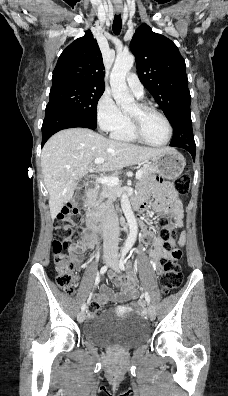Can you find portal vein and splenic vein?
I'll list each match as a JSON object with an SVG mask.
<instances>
[{
  "label": "portal vein and splenic vein",
  "mask_w": 228,
  "mask_h": 396,
  "mask_svg": "<svg viewBox=\"0 0 228 396\" xmlns=\"http://www.w3.org/2000/svg\"><path fill=\"white\" fill-rule=\"evenodd\" d=\"M102 163H104V159L103 158H97V159H95V161H94V165L90 168V172H93V170H94V166L95 165H100V164H102ZM142 174H143V171H142V169H140V170H138L137 172H136V179H140L141 178V176H142ZM98 183H101V184H103V185H107V186H111V187H114V186H117L118 184H119V178L118 177H107V176H105V177H100V178H97V180H96Z\"/></svg>",
  "instance_id": "portal-vein-and-splenic-vein-1"
}]
</instances>
